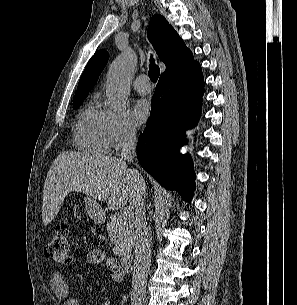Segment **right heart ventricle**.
Returning <instances> with one entry per match:
<instances>
[{"label":"right heart ventricle","mask_w":297,"mask_h":305,"mask_svg":"<svg viewBox=\"0 0 297 305\" xmlns=\"http://www.w3.org/2000/svg\"><path fill=\"white\" fill-rule=\"evenodd\" d=\"M109 114L90 101L80 110L74 127V141L85 152L106 154L111 145Z\"/></svg>","instance_id":"obj_1"}]
</instances>
